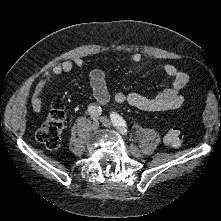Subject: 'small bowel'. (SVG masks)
<instances>
[{"label": "small bowel", "mask_w": 221, "mask_h": 221, "mask_svg": "<svg viewBox=\"0 0 221 221\" xmlns=\"http://www.w3.org/2000/svg\"><path fill=\"white\" fill-rule=\"evenodd\" d=\"M130 58L137 66L143 62V57L139 53H133ZM83 65L84 60L77 57L73 60H65L44 72L32 92V103L35 111L41 112V93L54 77L70 72L75 66L82 67ZM162 70L172 79L169 88L161 91L154 97H146L135 92H117L113 96L114 102L118 105L128 103L137 109L150 112H162L180 108L185 101V97L181 91L188 83V74L178 70L171 64H163ZM89 79L95 100L101 106L106 105L110 100V95L106 87L105 73L101 69H94L90 72Z\"/></svg>", "instance_id": "obj_1"}]
</instances>
